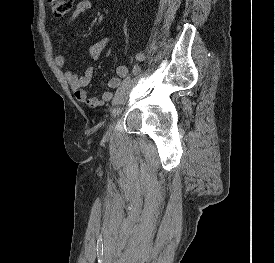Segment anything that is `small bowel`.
<instances>
[{
	"label": "small bowel",
	"instance_id": "small-bowel-1",
	"mask_svg": "<svg viewBox=\"0 0 275 263\" xmlns=\"http://www.w3.org/2000/svg\"><path fill=\"white\" fill-rule=\"evenodd\" d=\"M92 8L91 0H81L68 21V25L73 24L79 17L87 13ZM64 36H61L60 43L63 42ZM115 41L114 36H106L94 42L88 49L89 56L92 60H98L104 49ZM56 66L63 72L71 90L77 101L85 102L89 107L96 108L102 106L105 102L110 101L113 96V91L105 92L100 98L89 97L85 87L91 83L94 78V68L89 66L83 76H79L75 71L65 68V58L62 54H56L54 57ZM129 73V67L120 65L116 68V76L108 80V87L112 90L119 89L123 83L124 78Z\"/></svg>",
	"mask_w": 275,
	"mask_h": 263
}]
</instances>
